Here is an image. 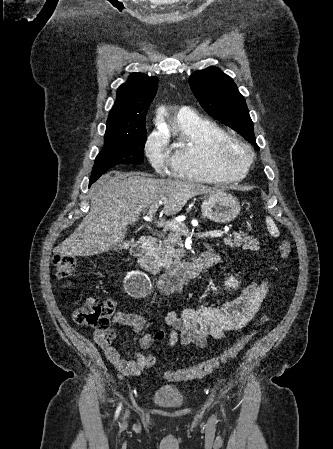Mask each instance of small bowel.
Segmentation results:
<instances>
[{
  "label": "small bowel",
  "instance_id": "c3829d8e",
  "mask_svg": "<svg viewBox=\"0 0 333 449\" xmlns=\"http://www.w3.org/2000/svg\"><path fill=\"white\" fill-rule=\"evenodd\" d=\"M213 261L217 263L219 258L213 256ZM267 292V283L253 281L235 299L222 305H203L195 309L185 308L180 313L170 312L165 319L168 329L158 331L154 336L144 334L140 346L147 350L157 340L165 341L168 347L181 344L204 348L209 338L222 339L227 332L239 330L250 323L258 314ZM266 319L265 314L260 315L256 325L262 324ZM113 322L130 327L135 333L141 332L145 326L141 315L122 311L114 314ZM116 337L117 330L114 328L105 331L96 329L93 333L95 343L121 374L136 376L145 368L156 364L153 354L135 351L123 356L114 345Z\"/></svg>",
  "mask_w": 333,
  "mask_h": 449
}]
</instances>
